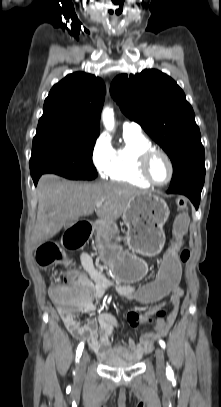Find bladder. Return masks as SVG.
<instances>
[{
	"label": "bladder",
	"mask_w": 221,
	"mask_h": 407,
	"mask_svg": "<svg viewBox=\"0 0 221 407\" xmlns=\"http://www.w3.org/2000/svg\"><path fill=\"white\" fill-rule=\"evenodd\" d=\"M99 360L106 366L114 368H127L133 367L138 364V360H122V359H113L106 357H99Z\"/></svg>",
	"instance_id": "1"
}]
</instances>
